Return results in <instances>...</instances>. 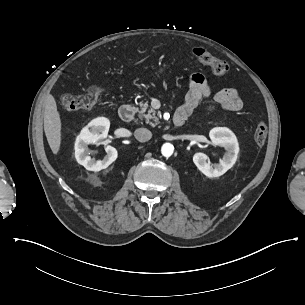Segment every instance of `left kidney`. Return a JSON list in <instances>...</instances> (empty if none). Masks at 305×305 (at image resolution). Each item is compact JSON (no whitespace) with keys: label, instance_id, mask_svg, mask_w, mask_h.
Returning a JSON list of instances; mask_svg holds the SVG:
<instances>
[{"label":"left kidney","instance_id":"obj_1","mask_svg":"<svg viewBox=\"0 0 305 305\" xmlns=\"http://www.w3.org/2000/svg\"><path fill=\"white\" fill-rule=\"evenodd\" d=\"M209 136L213 145L221 146L225 149L223 160L211 167L209 163H206L208 155L203 152L195 153L192 160L202 174L209 178H215L223 175L233 167L237 160L238 144L234 134L227 128H214Z\"/></svg>","mask_w":305,"mask_h":305}]
</instances>
